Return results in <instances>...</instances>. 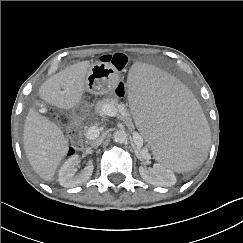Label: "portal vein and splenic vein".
<instances>
[{"label": "portal vein and splenic vein", "mask_w": 243, "mask_h": 243, "mask_svg": "<svg viewBox=\"0 0 243 243\" xmlns=\"http://www.w3.org/2000/svg\"><path fill=\"white\" fill-rule=\"evenodd\" d=\"M104 113L107 116H111V117H116L117 116V111L115 108L109 106V105H105L104 106ZM97 134H99V130L96 127H90L87 132H86V137L88 139H91L93 137H95Z\"/></svg>", "instance_id": "18ae733b"}]
</instances>
